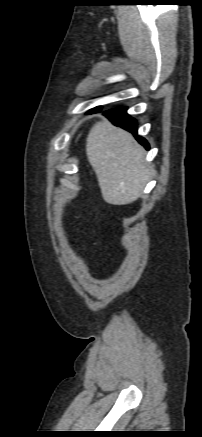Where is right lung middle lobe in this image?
<instances>
[{
  "label": "right lung middle lobe",
  "mask_w": 202,
  "mask_h": 437,
  "mask_svg": "<svg viewBox=\"0 0 202 437\" xmlns=\"http://www.w3.org/2000/svg\"><path fill=\"white\" fill-rule=\"evenodd\" d=\"M100 107H96L95 109H93L92 111H96L97 109H99Z\"/></svg>",
  "instance_id": "right-lung-middle-lobe-1"
}]
</instances>
